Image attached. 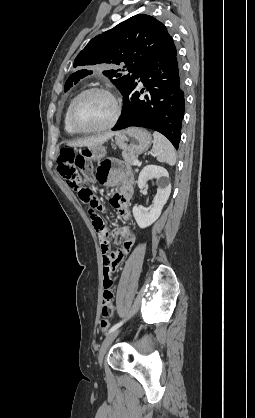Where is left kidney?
I'll return each mask as SVG.
<instances>
[{"mask_svg":"<svg viewBox=\"0 0 255 418\" xmlns=\"http://www.w3.org/2000/svg\"><path fill=\"white\" fill-rule=\"evenodd\" d=\"M156 179L158 182L157 193L153 200V205L148 210H143L137 205L133 207V216L140 228L152 225L161 215L163 206L166 204L170 192L171 183L168 171L157 165L145 166L139 174L138 187L143 189L147 186V181Z\"/></svg>","mask_w":255,"mask_h":418,"instance_id":"1","label":"left kidney"}]
</instances>
